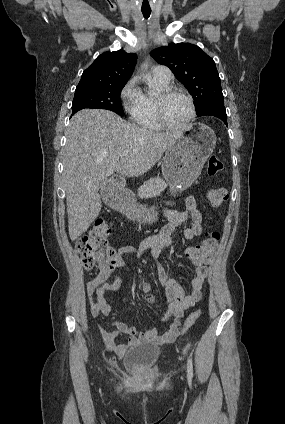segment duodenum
Masks as SVG:
<instances>
[{
    "label": "duodenum",
    "instance_id": "1",
    "mask_svg": "<svg viewBox=\"0 0 285 424\" xmlns=\"http://www.w3.org/2000/svg\"><path fill=\"white\" fill-rule=\"evenodd\" d=\"M124 186V181L122 178L120 177H114L112 179V188L113 190H120L122 189Z\"/></svg>",
    "mask_w": 285,
    "mask_h": 424
}]
</instances>
